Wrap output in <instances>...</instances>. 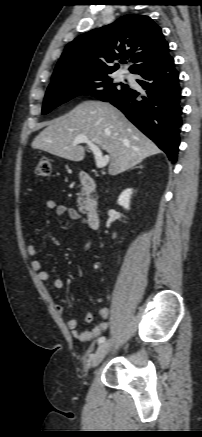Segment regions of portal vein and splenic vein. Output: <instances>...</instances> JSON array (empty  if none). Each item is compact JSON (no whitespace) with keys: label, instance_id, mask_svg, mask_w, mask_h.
I'll use <instances>...</instances> for the list:
<instances>
[{"label":"portal vein and splenic vein","instance_id":"portal-vein-and-splenic-vein-1","mask_svg":"<svg viewBox=\"0 0 202 437\" xmlns=\"http://www.w3.org/2000/svg\"><path fill=\"white\" fill-rule=\"evenodd\" d=\"M81 143H86L91 149V151L93 152L97 168H103L109 163L110 160L109 155L103 156L99 147L94 143H92L90 140H88L86 136L78 135L77 137H75L73 145H77Z\"/></svg>","mask_w":202,"mask_h":437}]
</instances>
